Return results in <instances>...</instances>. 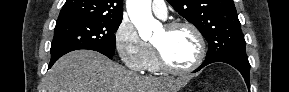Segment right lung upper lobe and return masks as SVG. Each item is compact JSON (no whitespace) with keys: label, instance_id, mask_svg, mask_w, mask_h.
I'll use <instances>...</instances> for the list:
<instances>
[{"label":"right lung upper lobe","instance_id":"right-lung-upper-lobe-1","mask_svg":"<svg viewBox=\"0 0 289 92\" xmlns=\"http://www.w3.org/2000/svg\"><path fill=\"white\" fill-rule=\"evenodd\" d=\"M123 0H67L58 20L68 18H90L121 20Z\"/></svg>","mask_w":289,"mask_h":92}]
</instances>
